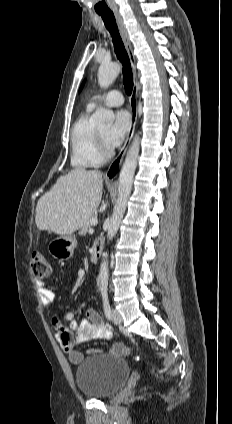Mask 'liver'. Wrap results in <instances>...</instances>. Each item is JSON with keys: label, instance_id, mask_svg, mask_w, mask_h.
<instances>
[{"label": "liver", "instance_id": "1", "mask_svg": "<svg viewBox=\"0 0 232 424\" xmlns=\"http://www.w3.org/2000/svg\"><path fill=\"white\" fill-rule=\"evenodd\" d=\"M103 178L98 170L75 168L58 178L36 206L39 230L71 235L94 214L102 197Z\"/></svg>", "mask_w": 232, "mask_h": 424}]
</instances>
